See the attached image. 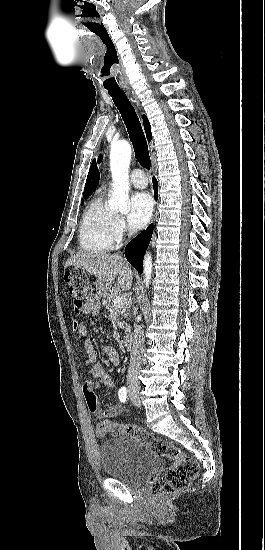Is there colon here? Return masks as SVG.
<instances>
[{
  "label": "colon",
  "instance_id": "1",
  "mask_svg": "<svg viewBox=\"0 0 265 550\" xmlns=\"http://www.w3.org/2000/svg\"><path fill=\"white\" fill-rule=\"evenodd\" d=\"M64 281L74 299L73 312L75 314L83 313L84 300L92 293L88 281L75 273H66ZM97 434L102 438L107 435L135 437L142 444L149 446L160 457L172 461V465L160 470L153 480L152 494L156 497L177 493L198 475L199 465L196 460L169 442L156 438L138 426L120 425L110 419L103 418L97 424Z\"/></svg>",
  "mask_w": 265,
  "mask_h": 550
}]
</instances>
